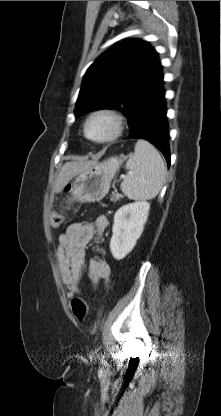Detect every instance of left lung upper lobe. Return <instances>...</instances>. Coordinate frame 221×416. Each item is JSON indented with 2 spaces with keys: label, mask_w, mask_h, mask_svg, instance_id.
Here are the masks:
<instances>
[{
  "label": "left lung upper lobe",
  "mask_w": 221,
  "mask_h": 416,
  "mask_svg": "<svg viewBox=\"0 0 221 416\" xmlns=\"http://www.w3.org/2000/svg\"><path fill=\"white\" fill-rule=\"evenodd\" d=\"M162 66L157 52L142 40L117 44L88 68L75 116L101 108L121 111L132 122L139 102L158 83Z\"/></svg>",
  "instance_id": "obj_1"
}]
</instances>
